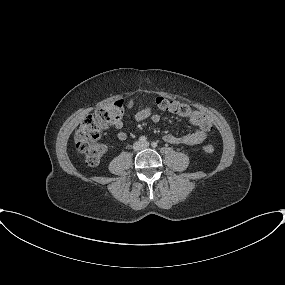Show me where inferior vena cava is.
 Returning a JSON list of instances; mask_svg holds the SVG:
<instances>
[{"label": "inferior vena cava", "instance_id": "602c4592", "mask_svg": "<svg viewBox=\"0 0 285 285\" xmlns=\"http://www.w3.org/2000/svg\"><path fill=\"white\" fill-rule=\"evenodd\" d=\"M147 146H148L147 143L138 142V143L134 146V148H135L136 150H142V149L146 148Z\"/></svg>", "mask_w": 285, "mask_h": 285}]
</instances>
